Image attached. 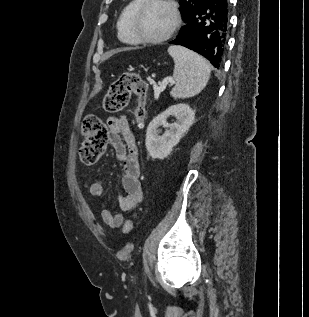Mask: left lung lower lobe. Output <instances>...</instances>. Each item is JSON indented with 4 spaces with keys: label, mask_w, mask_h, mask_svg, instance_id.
Masks as SVG:
<instances>
[{
    "label": "left lung lower lobe",
    "mask_w": 309,
    "mask_h": 317,
    "mask_svg": "<svg viewBox=\"0 0 309 317\" xmlns=\"http://www.w3.org/2000/svg\"><path fill=\"white\" fill-rule=\"evenodd\" d=\"M184 21L179 36L169 43L187 47L220 68L227 45L229 1L204 0Z\"/></svg>",
    "instance_id": "left-lung-lower-lobe-1"
}]
</instances>
